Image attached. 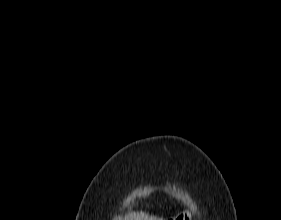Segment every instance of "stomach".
<instances>
[{"label": "stomach", "mask_w": 281, "mask_h": 220, "mask_svg": "<svg viewBox=\"0 0 281 220\" xmlns=\"http://www.w3.org/2000/svg\"><path fill=\"white\" fill-rule=\"evenodd\" d=\"M175 219L177 220H191V215L187 212L180 213Z\"/></svg>", "instance_id": "1"}]
</instances>
